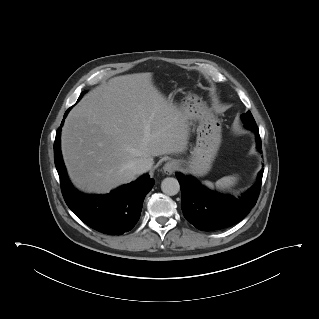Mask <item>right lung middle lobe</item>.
<instances>
[{
  "label": "right lung middle lobe",
  "mask_w": 319,
  "mask_h": 319,
  "mask_svg": "<svg viewBox=\"0 0 319 319\" xmlns=\"http://www.w3.org/2000/svg\"><path fill=\"white\" fill-rule=\"evenodd\" d=\"M82 95H83V93L80 95V97H79V98H81V97H82Z\"/></svg>",
  "instance_id": "right-lung-middle-lobe-1"
}]
</instances>
